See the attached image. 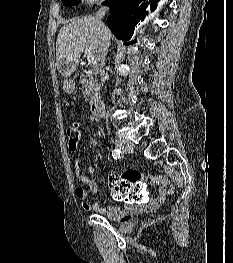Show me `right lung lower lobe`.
Instances as JSON below:
<instances>
[{"mask_svg": "<svg viewBox=\"0 0 233 263\" xmlns=\"http://www.w3.org/2000/svg\"><path fill=\"white\" fill-rule=\"evenodd\" d=\"M159 0H106L103 4L110 7L111 14L107 18V25L113 34L125 42L126 45L136 41L130 40L134 27L148 13L154 11Z\"/></svg>", "mask_w": 233, "mask_h": 263, "instance_id": "right-lung-lower-lobe-1", "label": "right lung lower lobe"}]
</instances>
